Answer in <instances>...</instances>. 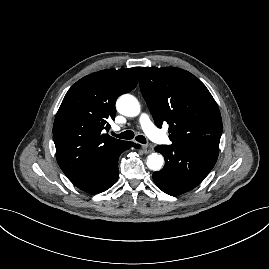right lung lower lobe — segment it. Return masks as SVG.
Masks as SVG:
<instances>
[{"instance_id":"obj_1","label":"right lung lower lobe","mask_w":269,"mask_h":269,"mask_svg":"<svg viewBox=\"0 0 269 269\" xmlns=\"http://www.w3.org/2000/svg\"><path fill=\"white\" fill-rule=\"evenodd\" d=\"M130 147L139 148V144L127 142L124 146L114 151L108 157L102 159L81 177L71 182L79 189L97 194L109 189L118 179V159L120 154Z\"/></svg>"}]
</instances>
